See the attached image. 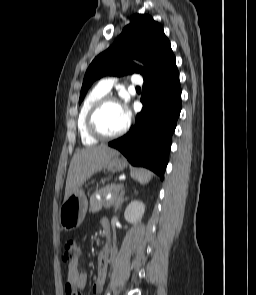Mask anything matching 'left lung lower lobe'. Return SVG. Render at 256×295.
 Wrapping results in <instances>:
<instances>
[{
	"label": "left lung lower lobe",
	"mask_w": 256,
	"mask_h": 295,
	"mask_svg": "<svg viewBox=\"0 0 256 295\" xmlns=\"http://www.w3.org/2000/svg\"><path fill=\"white\" fill-rule=\"evenodd\" d=\"M135 127L123 137L109 142L134 166L149 168L163 179L171 136L181 111V87L176 63L144 79Z\"/></svg>",
	"instance_id": "1"
}]
</instances>
